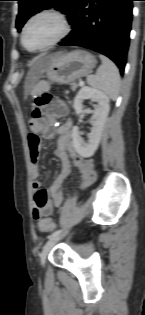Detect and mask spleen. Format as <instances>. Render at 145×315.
<instances>
[{
	"label": "spleen",
	"mask_w": 145,
	"mask_h": 315,
	"mask_svg": "<svg viewBox=\"0 0 145 315\" xmlns=\"http://www.w3.org/2000/svg\"><path fill=\"white\" fill-rule=\"evenodd\" d=\"M102 65L95 75L87 77V83L109 98L115 100L120 92L121 80L117 66L107 57L100 55Z\"/></svg>",
	"instance_id": "obj_1"
}]
</instances>
